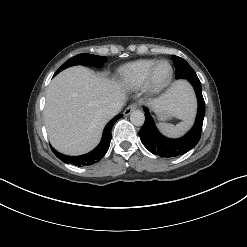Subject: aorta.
<instances>
[{"label": "aorta", "mask_w": 247, "mask_h": 247, "mask_svg": "<svg viewBox=\"0 0 247 247\" xmlns=\"http://www.w3.org/2000/svg\"><path fill=\"white\" fill-rule=\"evenodd\" d=\"M130 121L135 125V126H141L144 124L145 121V116L144 113L140 110H134L130 114Z\"/></svg>", "instance_id": "1"}]
</instances>
